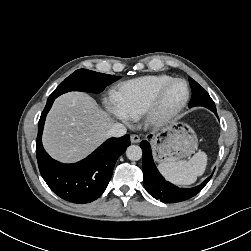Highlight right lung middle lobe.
<instances>
[{
  "label": "right lung middle lobe",
  "instance_id": "obj_1",
  "mask_svg": "<svg viewBox=\"0 0 251 251\" xmlns=\"http://www.w3.org/2000/svg\"><path fill=\"white\" fill-rule=\"evenodd\" d=\"M119 78V76L79 69L68 76L50 96L57 98L59 95L69 91H85L98 94L102 92L107 85Z\"/></svg>",
  "mask_w": 251,
  "mask_h": 251
}]
</instances>
